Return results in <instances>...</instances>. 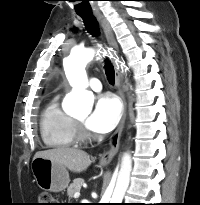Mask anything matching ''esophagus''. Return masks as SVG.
<instances>
[{
    "label": "esophagus",
    "instance_id": "esophagus-1",
    "mask_svg": "<svg viewBox=\"0 0 200 205\" xmlns=\"http://www.w3.org/2000/svg\"><path fill=\"white\" fill-rule=\"evenodd\" d=\"M94 15H95L97 21L100 23V25H101V27L104 31L108 46L110 47L112 53L117 57L118 52H119L118 44L116 42L114 33L111 29V26H110L109 22L99 12H96ZM115 56L113 57V64H114V68H115V85L117 87V93L120 96V99H121L122 104H123V111H122V119H121L116 131L114 132L111 140H110L109 150L104 152L100 156L99 161H100L101 164H104V165L109 164L111 162V160L113 159V157L118 152L119 144H120V138H121L122 131L124 129L126 118H127V101H126V97H125V90L122 86L121 73H120L119 69L116 66Z\"/></svg>",
    "mask_w": 200,
    "mask_h": 205
}]
</instances>
